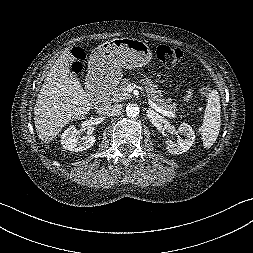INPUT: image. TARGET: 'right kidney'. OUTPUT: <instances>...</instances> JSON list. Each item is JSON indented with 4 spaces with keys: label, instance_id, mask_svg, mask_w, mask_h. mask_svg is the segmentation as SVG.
Listing matches in <instances>:
<instances>
[{
    "label": "right kidney",
    "instance_id": "ca27d5eb",
    "mask_svg": "<svg viewBox=\"0 0 253 253\" xmlns=\"http://www.w3.org/2000/svg\"><path fill=\"white\" fill-rule=\"evenodd\" d=\"M95 135H86L81 140L77 136V129L75 126L67 128L61 136L62 146L70 151L78 152L87 150L95 143Z\"/></svg>",
    "mask_w": 253,
    "mask_h": 253
}]
</instances>
